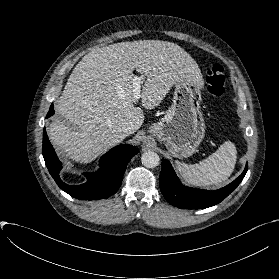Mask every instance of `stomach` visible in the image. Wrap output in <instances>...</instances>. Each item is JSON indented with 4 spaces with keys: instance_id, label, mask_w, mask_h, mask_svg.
<instances>
[{
    "instance_id": "1",
    "label": "stomach",
    "mask_w": 279,
    "mask_h": 279,
    "mask_svg": "<svg viewBox=\"0 0 279 279\" xmlns=\"http://www.w3.org/2000/svg\"><path fill=\"white\" fill-rule=\"evenodd\" d=\"M174 88L171 107L149 131L174 157L187 158L197 150L205 135L201 90L198 83L188 78L178 80Z\"/></svg>"
}]
</instances>
